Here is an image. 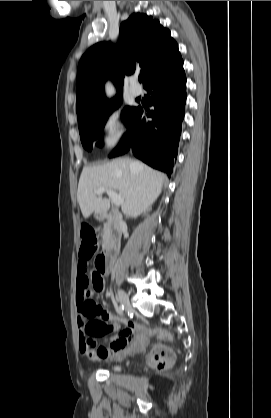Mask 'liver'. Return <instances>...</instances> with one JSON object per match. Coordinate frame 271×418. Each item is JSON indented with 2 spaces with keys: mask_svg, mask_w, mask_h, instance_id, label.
I'll list each match as a JSON object with an SVG mask.
<instances>
[{
  "mask_svg": "<svg viewBox=\"0 0 271 418\" xmlns=\"http://www.w3.org/2000/svg\"><path fill=\"white\" fill-rule=\"evenodd\" d=\"M165 175L142 162L129 158L115 159L100 166L83 168L77 191L82 215L104 214L110 201L95 190L109 188L123 199L122 212L136 218L151 208L162 190Z\"/></svg>",
  "mask_w": 271,
  "mask_h": 418,
  "instance_id": "1",
  "label": "liver"
}]
</instances>
